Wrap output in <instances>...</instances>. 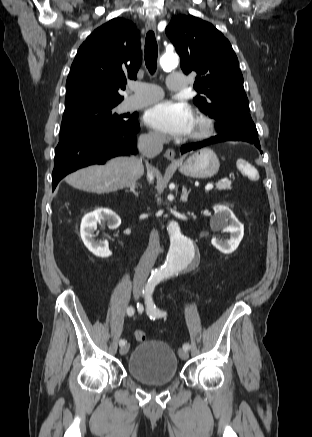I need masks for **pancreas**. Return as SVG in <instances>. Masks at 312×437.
<instances>
[{
	"label": "pancreas",
	"mask_w": 312,
	"mask_h": 437,
	"mask_svg": "<svg viewBox=\"0 0 312 437\" xmlns=\"http://www.w3.org/2000/svg\"><path fill=\"white\" fill-rule=\"evenodd\" d=\"M216 188L218 190H231L232 189L231 182L230 181H225V182L218 183L216 185Z\"/></svg>",
	"instance_id": "obj_1"
}]
</instances>
